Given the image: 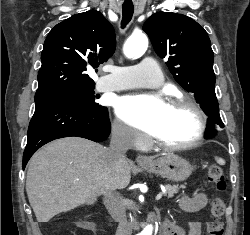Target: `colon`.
<instances>
[{
	"label": "colon",
	"mask_w": 250,
	"mask_h": 235,
	"mask_svg": "<svg viewBox=\"0 0 250 235\" xmlns=\"http://www.w3.org/2000/svg\"><path fill=\"white\" fill-rule=\"evenodd\" d=\"M207 179L215 191H223L226 187L223 169L216 163L208 167ZM209 212L210 219L207 222L208 235H223V222L221 217L224 212V203L219 197L212 199Z\"/></svg>",
	"instance_id": "1"
}]
</instances>
